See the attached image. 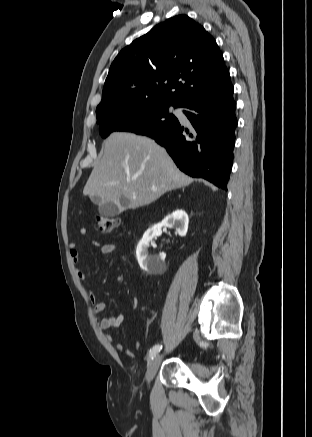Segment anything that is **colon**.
Returning <instances> with one entry per match:
<instances>
[{
  "label": "colon",
  "mask_w": 312,
  "mask_h": 437,
  "mask_svg": "<svg viewBox=\"0 0 312 437\" xmlns=\"http://www.w3.org/2000/svg\"><path fill=\"white\" fill-rule=\"evenodd\" d=\"M95 223L101 232H111L119 225V218L97 214L95 215Z\"/></svg>",
  "instance_id": "obj_1"
}]
</instances>
